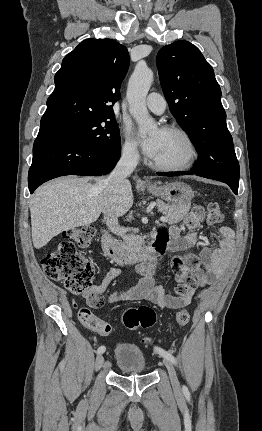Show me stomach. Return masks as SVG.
<instances>
[{
    "label": "stomach",
    "mask_w": 262,
    "mask_h": 431,
    "mask_svg": "<svg viewBox=\"0 0 262 431\" xmlns=\"http://www.w3.org/2000/svg\"><path fill=\"white\" fill-rule=\"evenodd\" d=\"M147 190L152 195L160 197L172 205H186L194 196L192 188L181 181L166 183L160 186L154 184L148 186Z\"/></svg>",
    "instance_id": "obj_1"
}]
</instances>
